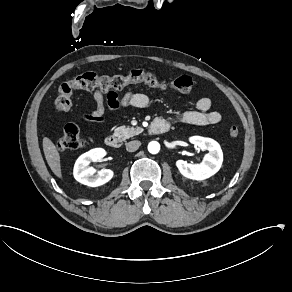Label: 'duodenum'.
<instances>
[{
    "label": "duodenum",
    "instance_id": "410a0bca",
    "mask_svg": "<svg viewBox=\"0 0 292 292\" xmlns=\"http://www.w3.org/2000/svg\"><path fill=\"white\" fill-rule=\"evenodd\" d=\"M170 130V123L165 119H156L148 128L151 135L165 134ZM106 145L112 149L120 148V140L118 136L111 134L105 139Z\"/></svg>",
    "mask_w": 292,
    "mask_h": 292
}]
</instances>
